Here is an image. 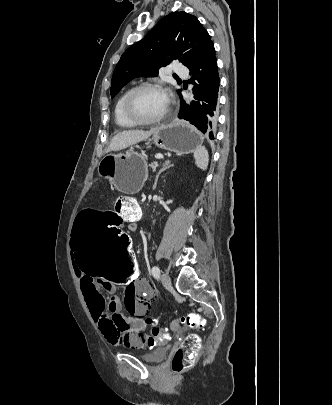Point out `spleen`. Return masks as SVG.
Masks as SVG:
<instances>
[{"label": "spleen", "mask_w": 332, "mask_h": 405, "mask_svg": "<svg viewBox=\"0 0 332 405\" xmlns=\"http://www.w3.org/2000/svg\"><path fill=\"white\" fill-rule=\"evenodd\" d=\"M195 164L202 170L207 169L209 162L208 151L204 146L197 149L194 153Z\"/></svg>", "instance_id": "3e777b00"}]
</instances>
